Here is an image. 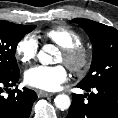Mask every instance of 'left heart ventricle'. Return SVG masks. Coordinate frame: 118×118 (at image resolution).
Returning a JSON list of instances; mask_svg holds the SVG:
<instances>
[{
    "label": "left heart ventricle",
    "mask_w": 118,
    "mask_h": 118,
    "mask_svg": "<svg viewBox=\"0 0 118 118\" xmlns=\"http://www.w3.org/2000/svg\"><path fill=\"white\" fill-rule=\"evenodd\" d=\"M59 61H63V55H60Z\"/></svg>",
    "instance_id": "1"
}]
</instances>
